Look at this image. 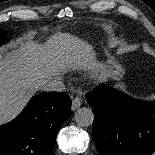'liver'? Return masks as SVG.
<instances>
[{
  "mask_svg": "<svg viewBox=\"0 0 155 155\" xmlns=\"http://www.w3.org/2000/svg\"><path fill=\"white\" fill-rule=\"evenodd\" d=\"M69 68L107 78L92 46L68 33H55L46 45L28 40L0 54V125L15 118L37 90Z\"/></svg>",
  "mask_w": 155,
  "mask_h": 155,
  "instance_id": "6515ba94",
  "label": "liver"
}]
</instances>
